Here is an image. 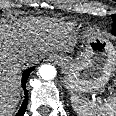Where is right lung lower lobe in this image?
Instances as JSON below:
<instances>
[{
  "instance_id": "1",
  "label": "right lung lower lobe",
  "mask_w": 116,
  "mask_h": 116,
  "mask_svg": "<svg viewBox=\"0 0 116 116\" xmlns=\"http://www.w3.org/2000/svg\"><path fill=\"white\" fill-rule=\"evenodd\" d=\"M32 70H34V67H31L23 72V75H22V87L23 88L25 87L26 81H27L29 74L31 73ZM27 103H28L27 100L23 101L22 106H21L20 110L18 111V113L16 114V116H23L24 115L26 107H27Z\"/></svg>"
}]
</instances>
